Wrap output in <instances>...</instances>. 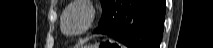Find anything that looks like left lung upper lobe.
<instances>
[{"mask_svg": "<svg viewBox=\"0 0 213 48\" xmlns=\"http://www.w3.org/2000/svg\"><path fill=\"white\" fill-rule=\"evenodd\" d=\"M100 1L102 3V8H103V11H104V9L107 7L110 0H100Z\"/></svg>", "mask_w": 213, "mask_h": 48, "instance_id": "5c2ea615", "label": "left lung upper lobe"}]
</instances>
